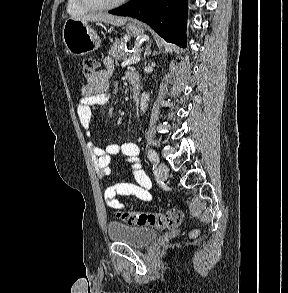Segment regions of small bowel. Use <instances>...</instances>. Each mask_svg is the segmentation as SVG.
Instances as JSON below:
<instances>
[{
    "label": "small bowel",
    "instance_id": "obj_1",
    "mask_svg": "<svg viewBox=\"0 0 288 293\" xmlns=\"http://www.w3.org/2000/svg\"><path fill=\"white\" fill-rule=\"evenodd\" d=\"M104 69L98 71L94 76L87 79L86 84L81 88V100L77 107V115L81 126L85 129L86 135L90 137L89 128L93 119L94 111L108 102L109 81L114 70V62L107 57L104 60ZM135 74L128 73L130 79ZM88 149L94 159L96 172L101 180H106L110 175L111 156L123 154L125 161L129 164L127 173L135 179L136 183L119 182L108 186L104 191V198L107 205L113 209L122 210L125 205L117 196H134L140 201H151L150 193L151 180L143 170L139 159V147L134 142L119 144H107L104 147L98 146L93 141H88Z\"/></svg>",
    "mask_w": 288,
    "mask_h": 293
}]
</instances>
